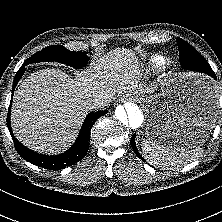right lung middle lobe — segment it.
Returning <instances> with one entry per match:
<instances>
[{"label":"right lung middle lobe","mask_w":222,"mask_h":222,"mask_svg":"<svg viewBox=\"0 0 222 222\" xmlns=\"http://www.w3.org/2000/svg\"><path fill=\"white\" fill-rule=\"evenodd\" d=\"M44 61H55L65 63L74 68H80L87 65L89 57L85 52H74L64 48L61 45H53L45 47L40 52L35 53L25 62L31 64Z\"/></svg>","instance_id":"dd1d6c3e"}]
</instances>
